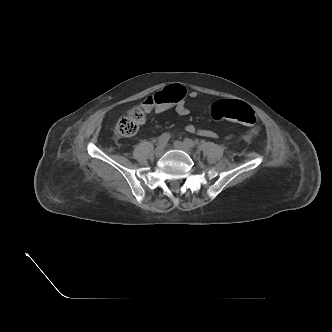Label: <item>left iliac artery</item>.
<instances>
[{"instance_id": "1", "label": "left iliac artery", "mask_w": 332, "mask_h": 332, "mask_svg": "<svg viewBox=\"0 0 332 332\" xmlns=\"http://www.w3.org/2000/svg\"><path fill=\"white\" fill-rule=\"evenodd\" d=\"M184 142L189 145L190 147H194L195 143L193 140L189 139V138H185Z\"/></svg>"}]
</instances>
